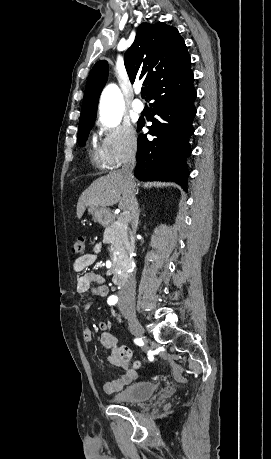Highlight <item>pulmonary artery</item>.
<instances>
[{
    "label": "pulmonary artery",
    "instance_id": "e3ab8cb5",
    "mask_svg": "<svg viewBox=\"0 0 271 459\" xmlns=\"http://www.w3.org/2000/svg\"><path fill=\"white\" fill-rule=\"evenodd\" d=\"M136 95L140 96V89L136 90ZM131 109H132L133 113L140 114L144 110L143 101L141 99H139V98L134 99V101L132 102V105H131Z\"/></svg>",
    "mask_w": 271,
    "mask_h": 459
}]
</instances>
